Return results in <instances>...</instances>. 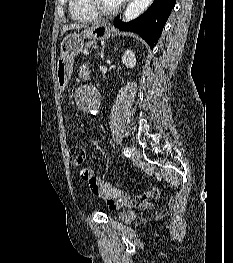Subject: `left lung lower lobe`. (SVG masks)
<instances>
[{
	"instance_id": "left-lung-lower-lobe-1",
	"label": "left lung lower lobe",
	"mask_w": 233,
	"mask_h": 263,
	"mask_svg": "<svg viewBox=\"0 0 233 263\" xmlns=\"http://www.w3.org/2000/svg\"><path fill=\"white\" fill-rule=\"evenodd\" d=\"M175 2L176 0H154L149 9L137 19L123 23L118 16L115 19L114 26L123 31L138 33L153 49Z\"/></svg>"
}]
</instances>
